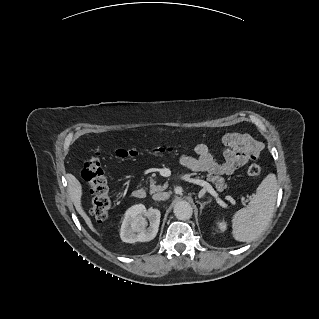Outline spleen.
I'll return each mask as SVG.
<instances>
[{
	"instance_id": "obj_1",
	"label": "spleen",
	"mask_w": 319,
	"mask_h": 319,
	"mask_svg": "<svg viewBox=\"0 0 319 319\" xmlns=\"http://www.w3.org/2000/svg\"><path fill=\"white\" fill-rule=\"evenodd\" d=\"M278 188L276 175L268 174L247 207L233 215L232 235L235 240L251 242L266 229L274 211Z\"/></svg>"
}]
</instances>
